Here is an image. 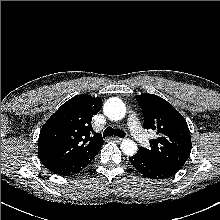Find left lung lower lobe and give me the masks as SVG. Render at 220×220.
<instances>
[{
	"label": "left lung lower lobe",
	"mask_w": 220,
	"mask_h": 220,
	"mask_svg": "<svg viewBox=\"0 0 220 220\" xmlns=\"http://www.w3.org/2000/svg\"><path fill=\"white\" fill-rule=\"evenodd\" d=\"M129 160L141 174L148 178L163 179L178 172V170H172L162 166L139 152L134 156L129 157Z\"/></svg>",
	"instance_id": "left-lung-lower-lobe-1"
}]
</instances>
